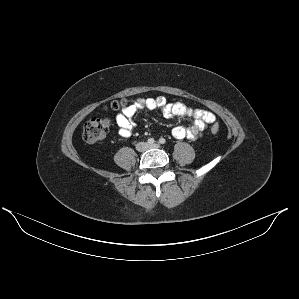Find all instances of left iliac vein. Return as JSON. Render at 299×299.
I'll list each match as a JSON object with an SVG mask.
<instances>
[{"instance_id": "4c4485c4", "label": "left iliac vein", "mask_w": 299, "mask_h": 299, "mask_svg": "<svg viewBox=\"0 0 299 299\" xmlns=\"http://www.w3.org/2000/svg\"><path fill=\"white\" fill-rule=\"evenodd\" d=\"M148 149H151V148H160V145L155 143V144H151V145H148L147 146Z\"/></svg>"}]
</instances>
